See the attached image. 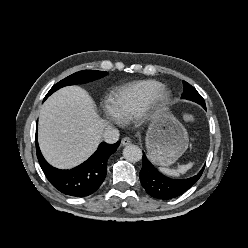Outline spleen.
I'll list each match as a JSON object with an SVG mask.
<instances>
[{"label": "spleen", "mask_w": 248, "mask_h": 248, "mask_svg": "<svg viewBox=\"0 0 248 248\" xmlns=\"http://www.w3.org/2000/svg\"><path fill=\"white\" fill-rule=\"evenodd\" d=\"M193 162L185 165H180L177 169L160 168V171L168 176L178 177L180 174H185L193 166Z\"/></svg>", "instance_id": "spleen-1"}]
</instances>
